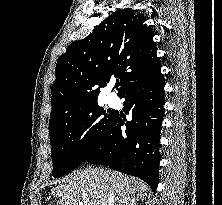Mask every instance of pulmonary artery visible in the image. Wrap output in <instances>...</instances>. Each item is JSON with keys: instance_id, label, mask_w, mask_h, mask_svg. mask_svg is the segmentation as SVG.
<instances>
[{"instance_id": "pulmonary-artery-1", "label": "pulmonary artery", "mask_w": 222, "mask_h": 205, "mask_svg": "<svg viewBox=\"0 0 222 205\" xmlns=\"http://www.w3.org/2000/svg\"><path fill=\"white\" fill-rule=\"evenodd\" d=\"M107 100H108V102H109L110 104L112 103V99H111V98H108Z\"/></svg>"}]
</instances>
